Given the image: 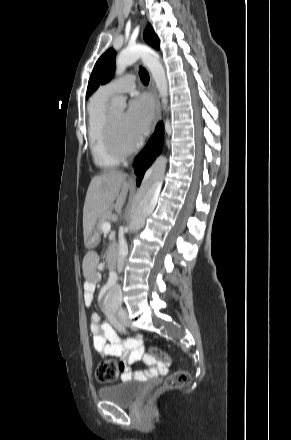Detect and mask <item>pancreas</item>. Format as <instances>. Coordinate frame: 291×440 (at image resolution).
<instances>
[{
	"label": "pancreas",
	"instance_id": "pancreas-1",
	"mask_svg": "<svg viewBox=\"0 0 291 440\" xmlns=\"http://www.w3.org/2000/svg\"><path fill=\"white\" fill-rule=\"evenodd\" d=\"M109 216L110 215L106 213V214L102 215L101 217H99L98 223H97V233L99 235L102 234V232H103L102 225H103L104 222L108 221Z\"/></svg>",
	"mask_w": 291,
	"mask_h": 440
}]
</instances>
